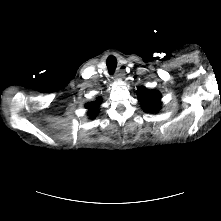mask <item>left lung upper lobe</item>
<instances>
[{"label": "left lung upper lobe", "mask_w": 221, "mask_h": 221, "mask_svg": "<svg viewBox=\"0 0 221 221\" xmlns=\"http://www.w3.org/2000/svg\"><path fill=\"white\" fill-rule=\"evenodd\" d=\"M137 94L140 97L142 108L145 112H158L161 105V95L152 90H146L145 87L139 88Z\"/></svg>", "instance_id": "1"}]
</instances>
